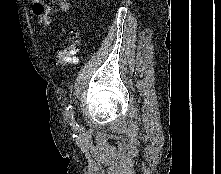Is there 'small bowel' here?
<instances>
[{"label":"small bowel","instance_id":"c3829d8e","mask_svg":"<svg viewBox=\"0 0 221 174\" xmlns=\"http://www.w3.org/2000/svg\"><path fill=\"white\" fill-rule=\"evenodd\" d=\"M58 9L62 12H67L70 9L68 0H53ZM33 3V13L38 18L39 24L43 27H48L53 22L52 9L43 0H31Z\"/></svg>","mask_w":221,"mask_h":174}]
</instances>
